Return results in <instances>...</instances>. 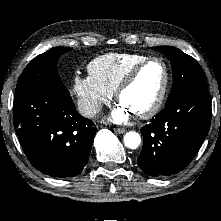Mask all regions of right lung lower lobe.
<instances>
[{
  "mask_svg": "<svg viewBox=\"0 0 221 221\" xmlns=\"http://www.w3.org/2000/svg\"><path fill=\"white\" fill-rule=\"evenodd\" d=\"M14 127L31 164L53 177H74L85 166L96 128L70 95L40 91L14 102Z\"/></svg>",
  "mask_w": 221,
  "mask_h": 221,
  "instance_id": "obj_1",
  "label": "right lung lower lobe"
}]
</instances>
